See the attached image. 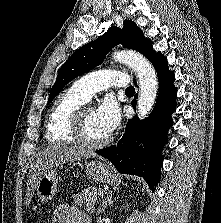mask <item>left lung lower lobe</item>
<instances>
[{"label":"left lung lower lobe","mask_w":221,"mask_h":223,"mask_svg":"<svg viewBox=\"0 0 221 223\" xmlns=\"http://www.w3.org/2000/svg\"><path fill=\"white\" fill-rule=\"evenodd\" d=\"M153 66L158 75L159 93L152 113L144 120L138 117L129 120L118 143L96 150V153L108 158L118 172L143 177L155 191L163 162L161 152L173 124L171 114L176 108L177 90L173 86L174 74L168 70L163 55L156 59ZM136 102L135 99L132 101L134 107Z\"/></svg>","instance_id":"1"}]
</instances>
